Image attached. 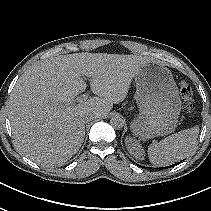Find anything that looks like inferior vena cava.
<instances>
[{"label":"inferior vena cava","mask_w":211,"mask_h":211,"mask_svg":"<svg viewBox=\"0 0 211 211\" xmlns=\"http://www.w3.org/2000/svg\"><path fill=\"white\" fill-rule=\"evenodd\" d=\"M94 118H95V115L87 114V115L84 116V121L87 123V122L93 120Z\"/></svg>","instance_id":"602c4592"}]
</instances>
